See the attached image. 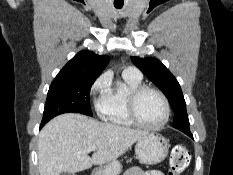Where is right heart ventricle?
Listing matches in <instances>:
<instances>
[{
  "instance_id": "e07e8e85",
  "label": "right heart ventricle",
  "mask_w": 233,
  "mask_h": 175,
  "mask_svg": "<svg viewBox=\"0 0 233 175\" xmlns=\"http://www.w3.org/2000/svg\"><path fill=\"white\" fill-rule=\"evenodd\" d=\"M142 85V79L123 73V85L112 88L110 85L97 101L98 116L105 122L119 128H131L135 124L127 112L129 92Z\"/></svg>"
}]
</instances>
